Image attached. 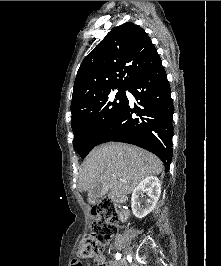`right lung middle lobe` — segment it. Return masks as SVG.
I'll return each instance as SVG.
<instances>
[{
    "label": "right lung middle lobe",
    "instance_id": "obj_1",
    "mask_svg": "<svg viewBox=\"0 0 221 266\" xmlns=\"http://www.w3.org/2000/svg\"><path fill=\"white\" fill-rule=\"evenodd\" d=\"M118 89L116 94L113 93ZM114 88L99 93L89 100L85 108L72 116L73 146L82 158L96 146L101 134L117 118L127 103L125 90Z\"/></svg>",
    "mask_w": 221,
    "mask_h": 266
}]
</instances>
